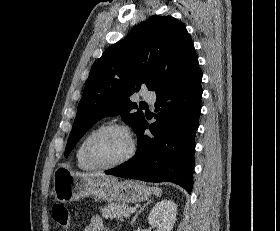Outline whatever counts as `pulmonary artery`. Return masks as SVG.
Here are the masks:
<instances>
[{
  "label": "pulmonary artery",
  "mask_w": 280,
  "mask_h": 231,
  "mask_svg": "<svg viewBox=\"0 0 280 231\" xmlns=\"http://www.w3.org/2000/svg\"><path fill=\"white\" fill-rule=\"evenodd\" d=\"M141 96L149 103H154L156 100V94L153 91L144 90L141 92Z\"/></svg>",
  "instance_id": "obj_1"
}]
</instances>
